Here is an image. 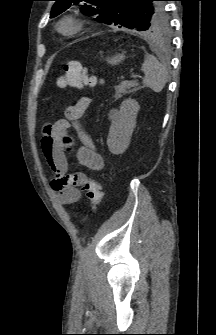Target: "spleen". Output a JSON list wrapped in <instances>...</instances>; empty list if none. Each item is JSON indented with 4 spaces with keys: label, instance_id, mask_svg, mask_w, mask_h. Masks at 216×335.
Returning a JSON list of instances; mask_svg holds the SVG:
<instances>
[{
    "label": "spleen",
    "instance_id": "3e777b00",
    "mask_svg": "<svg viewBox=\"0 0 216 335\" xmlns=\"http://www.w3.org/2000/svg\"><path fill=\"white\" fill-rule=\"evenodd\" d=\"M141 70L145 74L144 86L149 87L154 92H161L168 79L167 68L155 56L147 54Z\"/></svg>",
    "mask_w": 216,
    "mask_h": 335
}]
</instances>
